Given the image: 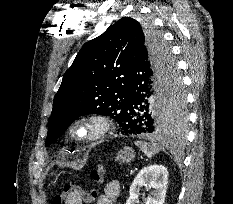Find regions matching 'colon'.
<instances>
[{
	"instance_id": "5ec220e1",
	"label": "colon",
	"mask_w": 233,
	"mask_h": 204,
	"mask_svg": "<svg viewBox=\"0 0 233 204\" xmlns=\"http://www.w3.org/2000/svg\"><path fill=\"white\" fill-rule=\"evenodd\" d=\"M105 169L103 166L93 170L90 174L91 180L94 183H101L103 180ZM97 196V190L93 189L91 193L85 192L82 188L66 183L63 186V190L60 194H57L52 204H83L86 199H94Z\"/></svg>"
}]
</instances>
